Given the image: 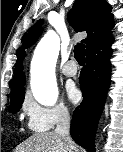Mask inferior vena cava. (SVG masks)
<instances>
[{
    "instance_id": "1",
    "label": "inferior vena cava",
    "mask_w": 123,
    "mask_h": 152,
    "mask_svg": "<svg viewBox=\"0 0 123 152\" xmlns=\"http://www.w3.org/2000/svg\"><path fill=\"white\" fill-rule=\"evenodd\" d=\"M55 133L63 138L65 143L67 144L66 152H71L69 150L68 144L71 142L70 137V115L68 111L62 110L59 112Z\"/></svg>"
}]
</instances>
